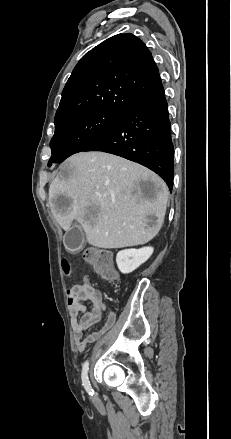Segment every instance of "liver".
Returning <instances> with one entry per match:
<instances>
[{
	"label": "liver",
	"instance_id": "6515ba94",
	"mask_svg": "<svg viewBox=\"0 0 231 439\" xmlns=\"http://www.w3.org/2000/svg\"><path fill=\"white\" fill-rule=\"evenodd\" d=\"M143 181L151 183L148 191ZM48 200L63 230L76 220L90 245L123 248L145 244L158 234L168 189L157 174L139 164L109 153L81 152L62 164ZM150 216L156 217L153 224Z\"/></svg>",
	"mask_w": 231,
	"mask_h": 439
}]
</instances>
